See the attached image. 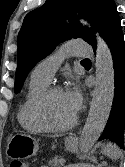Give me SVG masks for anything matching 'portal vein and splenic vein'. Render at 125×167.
<instances>
[{"mask_svg": "<svg viewBox=\"0 0 125 167\" xmlns=\"http://www.w3.org/2000/svg\"><path fill=\"white\" fill-rule=\"evenodd\" d=\"M60 162L63 164V163H65V160L62 159V160H60ZM65 167H73V166L72 165H68V166H65Z\"/></svg>", "mask_w": 125, "mask_h": 167, "instance_id": "18ae733b", "label": "portal vein and splenic vein"}]
</instances>
